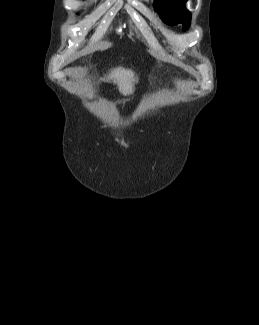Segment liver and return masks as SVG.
<instances>
[{"label":"liver","mask_w":259,"mask_h":325,"mask_svg":"<svg viewBox=\"0 0 259 325\" xmlns=\"http://www.w3.org/2000/svg\"><path fill=\"white\" fill-rule=\"evenodd\" d=\"M106 80H113V82L118 85L119 91L123 95L132 94L134 91V84L138 81L132 70L123 67L111 70L110 74L106 77Z\"/></svg>","instance_id":"liver-1"}]
</instances>
